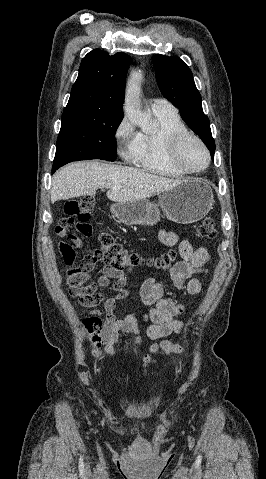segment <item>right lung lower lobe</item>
Returning <instances> with one entry per match:
<instances>
[{"label": "right lung lower lobe", "instance_id": "right-lung-lower-lobe-1", "mask_svg": "<svg viewBox=\"0 0 266 479\" xmlns=\"http://www.w3.org/2000/svg\"><path fill=\"white\" fill-rule=\"evenodd\" d=\"M67 164V162H54L52 167V173H54L58 168Z\"/></svg>", "mask_w": 266, "mask_h": 479}]
</instances>
